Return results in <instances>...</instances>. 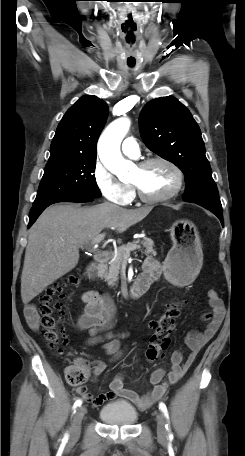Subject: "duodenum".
<instances>
[{
    "mask_svg": "<svg viewBox=\"0 0 245 456\" xmlns=\"http://www.w3.org/2000/svg\"><path fill=\"white\" fill-rule=\"evenodd\" d=\"M109 256V251H103L95 256L94 261L87 266L85 271L86 277L89 280L95 281L97 279L100 268L107 261ZM156 277L157 271L155 269L145 268L132 284L128 293L129 297L137 299L144 295Z\"/></svg>",
    "mask_w": 245,
    "mask_h": 456,
    "instance_id": "410a0bca",
    "label": "duodenum"
}]
</instances>
